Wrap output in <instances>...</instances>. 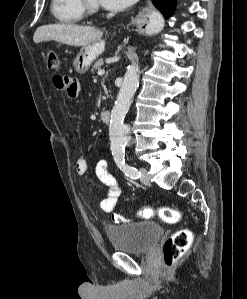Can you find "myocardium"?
<instances>
[{
	"instance_id": "1",
	"label": "myocardium",
	"mask_w": 247,
	"mask_h": 299,
	"mask_svg": "<svg viewBox=\"0 0 247 299\" xmlns=\"http://www.w3.org/2000/svg\"><path fill=\"white\" fill-rule=\"evenodd\" d=\"M85 14H95L99 11L100 7L98 1L95 0H80Z\"/></svg>"
}]
</instances>
